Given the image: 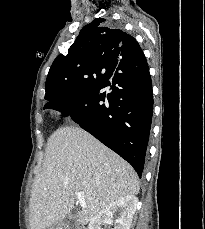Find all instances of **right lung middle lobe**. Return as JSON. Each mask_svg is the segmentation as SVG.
<instances>
[{
	"label": "right lung middle lobe",
	"mask_w": 205,
	"mask_h": 229,
	"mask_svg": "<svg viewBox=\"0 0 205 229\" xmlns=\"http://www.w3.org/2000/svg\"><path fill=\"white\" fill-rule=\"evenodd\" d=\"M110 79V76H105V75H101V76H97L95 77L92 82L85 87L84 89H88L97 85H104L108 80ZM83 89V90H84ZM46 108V107H45Z\"/></svg>",
	"instance_id": "dd1d6c3e"
}]
</instances>
